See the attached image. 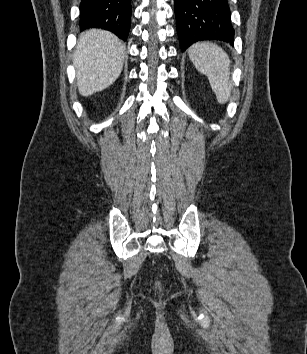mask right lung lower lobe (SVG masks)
Instances as JSON below:
<instances>
[{"label": "right lung lower lobe", "instance_id": "98d812e1", "mask_svg": "<svg viewBox=\"0 0 307 354\" xmlns=\"http://www.w3.org/2000/svg\"><path fill=\"white\" fill-rule=\"evenodd\" d=\"M80 29L103 28L126 40L130 30L131 0H81Z\"/></svg>", "mask_w": 307, "mask_h": 354}]
</instances>
